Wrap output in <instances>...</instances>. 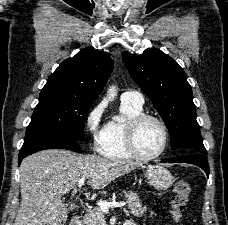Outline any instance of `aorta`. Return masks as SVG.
Here are the masks:
<instances>
[{"mask_svg": "<svg viewBox=\"0 0 228 225\" xmlns=\"http://www.w3.org/2000/svg\"><path fill=\"white\" fill-rule=\"evenodd\" d=\"M116 90V86H110V88H108L107 96L109 100H114L115 96H117ZM114 121H117V123H124L125 119L124 117H115Z\"/></svg>", "mask_w": 228, "mask_h": 225, "instance_id": "762f6f07", "label": "aorta"}]
</instances>
